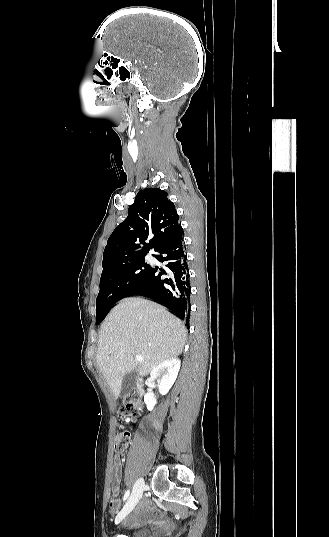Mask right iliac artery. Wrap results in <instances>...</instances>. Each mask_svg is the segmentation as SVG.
I'll return each mask as SVG.
<instances>
[{
	"mask_svg": "<svg viewBox=\"0 0 329 537\" xmlns=\"http://www.w3.org/2000/svg\"><path fill=\"white\" fill-rule=\"evenodd\" d=\"M129 494H130V490L128 489V490L125 492L124 496H123V501H125V500L128 498Z\"/></svg>",
	"mask_w": 329,
	"mask_h": 537,
	"instance_id": "1",
	"label": "right iliac artery"
}]
</instances>
